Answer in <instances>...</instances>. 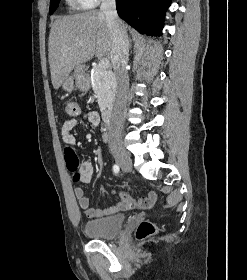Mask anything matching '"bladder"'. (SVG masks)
I'll list each match as a JSON object with an SVG mask.
<instances>
[{
    "label": "bladder",
    "mask_w": 247,
    "mask_h": 280,
    "mask_svg": "<svg viewBox=\"0 0 247 280\" xmlns=\"http://www.w3.org/2000/svg\"><path fill=\"white\" fill-rule=\"evenodd\" d=\"M125 222L124 215L89 220L84 225V233L93 239H113L122 232Z\"/></svg>",
    "instance_id": "31cf9c89"
}]
</instances>
